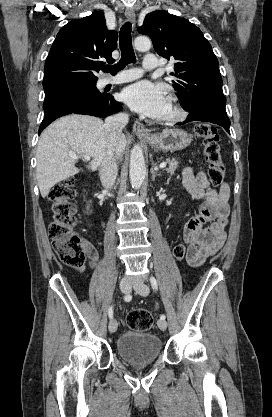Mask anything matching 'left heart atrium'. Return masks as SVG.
I'll return each instance as SVG.
<instances>
[{
  "label": "left heart atrium",
  "mask_w": 272,
  "mask_h": 417,
  "mask_svg": "<svg viewBox=\"0 0 272 417\" xmlns=\"http://www.w3.org/2000/svg\"><path fill=\"white\" fill-rule=\"evenodd\" d=\"M121 98L132 110L151 118L162 117L168 106L164 87L147 80L127 86Z\"/></svg>",
  "instance_id": "39dd6f15"
}]
</instances>
